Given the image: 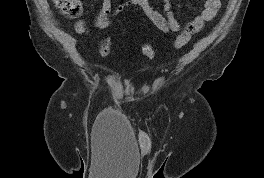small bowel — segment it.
Wrapping results in <instances>:
<instances>
[{"instance_id":"c3829d8e","label":"small bowel","mask_w":264,"mask_h":178,"mask_svg":"<svg viewBox=\"0 0 264 178\" xmlns=\"http://www.w3.org/2000/svg\"><path fill=\"white\" fill-rule=\"evenodd\" d=\"M130 6L139 7L154 26L163 33H175L180 30V23L173 12L171 0H162V12L156 10L150 4V0H124L115 8H112V0H102L93 25L88 27L85 21L78 20L75 23V30L79 34H89L94 30L105 29L110 25L112 16L119 15ZM220 6V0H204L203 10L186 25L184 31L192 35L199 32L205 22L215 17Z\"/></svg>"}]
</instances>
